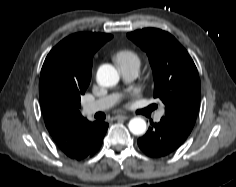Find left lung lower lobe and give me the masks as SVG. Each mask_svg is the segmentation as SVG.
<instances>
[{"mask_svg":"<svg viewBox=\"0 0 236 187\" xmlns=\"http://www.w3.org/2000/svg\"><path fill=\"white\" fill-rule=\"evenodd\" d=\"M189 134L162 118L159 123H152L146 134L138 139V146L149 157H163L179 148Z\"/></svg>","mask_w":236,"mask_h":187,"instance_id":"1","label":"left lung lower lobe"}]
</instances>
